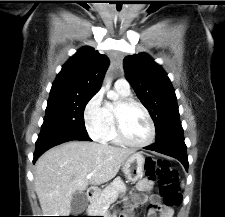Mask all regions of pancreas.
Returning <instances> with one entry per match:
<instances>
[{"label": "pancreas", "instance_id": "obj_1", "mask_svg": "<svg viewBox=\"0 0 225 217\" xmlns=\"http://www.w3.org/2000/svg\"><path fill=\"white\" fill-rule=\"evenodd\" d=\"M126 192V185L120 177H117L101 191L89 205V212L93 215L110 217L107 209L109 205L116 201L120 193Z\"/></svg>", "mask_w": 225, "mask_h": 217}]
</instances>
